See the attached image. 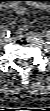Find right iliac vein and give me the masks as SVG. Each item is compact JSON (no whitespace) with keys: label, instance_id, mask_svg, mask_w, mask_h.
<instances>
[{"label":"right iliac vein","instance_id":"obj_1","mask_svg":"<svg viewBox=\"0 0 50 111\" xmlns=\"http://www.w3.org/2000/svg\"><path fill=\"white\" fill-rule=\"evenodd\" d=\"M2 43H5L7 41V38L2 35V32H1V40H0Z\"/></svg>","mask_w":50,"mask_h":111}]
</instances>
